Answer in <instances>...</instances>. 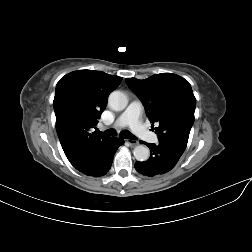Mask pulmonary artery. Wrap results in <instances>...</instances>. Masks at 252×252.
I'll use <instances>...</instances> for the list:
<instances>
[{
  "mask_svg": "<svg viewBox=\"0 0 252 252\" xmlns=\"http://www.w3.org/2000/svg\"><path fill=\"white\" fill-rule=\"evenodd\" d=\"M142 104L132 101L116 121L117 127L129 126L135 135L147 141H156V135L150 132L140 121Z\"/></svg>",
  "mask_w": 252,
  "mask_h": 252,
  "instance_id": "1",
  "label": "pulmonary artery"
}]
</instances>
